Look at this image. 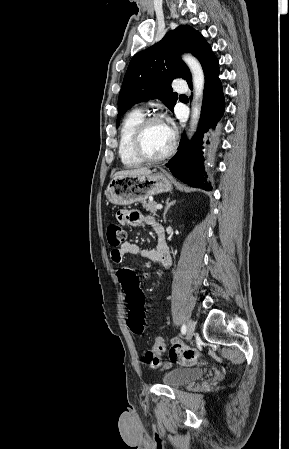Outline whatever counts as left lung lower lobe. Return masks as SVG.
I'll return each mask as SVG.
<instances>
[{
  "label": "left lung lower lobe",
  "mask_w": 289,
  "mask_h": 449,
  "mask_svg": "<svg viewBox=\"0 0 289 449\" xmlns=\"http://www.w3.org/2000/svg\"><path fill=\"white\" fill-rule=\"evenodd\" d=\"M201 65L205 75V88L198 131L191 142L186 141L183 135L178 152L166 166L182 182L211 191L202 149L205 152L213 151L219 144L221 126L218 122L224 114L225 101L219 79V63L213 52L203 59ZM188 85L192 89L191 81Z\"/></svg>",
  "instance_id": "obj_1"
}]
</instances>
